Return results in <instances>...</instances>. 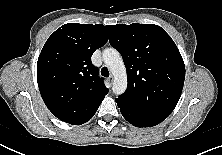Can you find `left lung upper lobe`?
Here are the masks:
<instances>
[{"instance_id":"5c2ea615","label":"left lung upper lobe","mask_w":222,"mask_h":155,"mask_svg":"<svg viewBox=\"0 0 222 155\" xmlns=\"http://www.w3.org/2000/svg\"><path fill=\"white\" fill-rule=\"evenodd\" d=\"M109 42L127 70L119 100L139 110L169 116L182 93L185 65L171 37L154 24L107 26Z\"/></svg>"}]
</instances>
